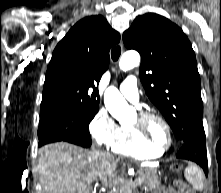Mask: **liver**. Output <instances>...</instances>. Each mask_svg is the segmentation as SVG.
<instances>
[{"instance_id": "obj_1", "label": "liver", "mask_w": 221, "mask_h": 193, "mask_svg": "<svg viewBox=\"0 0 221 193\" xmlns=\"http://www.w3.org/2000/svg\"><path fill=\"white\" fill-rule=\"evenodd\" d=\"M117 165L108 152L66 142L43 146L38 156L44 193H90L92 182L113 174Z\"/></svg>"}]
</instances>
